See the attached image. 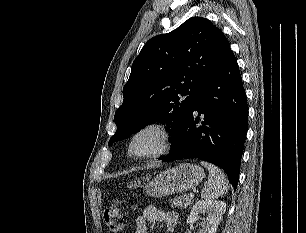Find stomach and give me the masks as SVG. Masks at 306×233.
Returning <instances> with one entry per match:
<instances>
[{
    "label": "stomach",
    "mask_w": 306,
    "mask_h": 233,
    "mask_svg": "<svg viewBox=\"0 0 306 233\" xmlns=\"http://www.w3.org/2000/svg\"><path fill=\"white\" fill-rule=\"evenodd\" d=\"M204 178V170L191 163H181L158 174L146 186V193L153 197L181 193L197 186Z\"/></svg>",
    "instance_id": "stomach-1"
}]
</instances>
